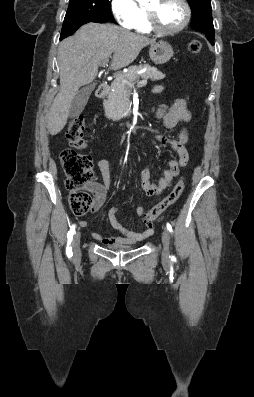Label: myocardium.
I'll use <instances>...</instances> for the list:
<instances>
[{"label": "myocardium", "mask_w": 254, "mask_h": 397, "mask_svg": "<svg viewBox=\"0 0 254 397\" xmlns=\"http://www.w3.org/2000/svg\"><path fill=\"white\" fill-rule=\"evenodd\" d=\"M177 1L182 5L184 9V16L181 23L177 27L171 29H166L159 26L156 21L154 12L151 9L146 8L145 12L147 17V23L152 31L162 35H173L181 32L188 25L191 17L190 6L186 0H177Z\"/></svg>", "instance_id": "myocardium-1"}]
</instances>
